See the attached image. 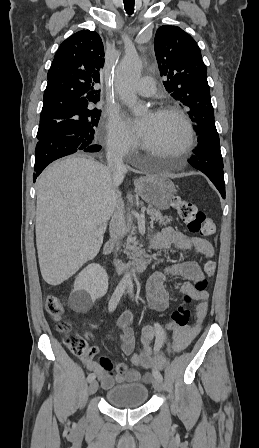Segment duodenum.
<instances>
[{
  "label": "duodenum",
  "instance_id": "1",
  "mask_svg": "<svg viewBox=\"0 0 259 448\" xmlns=\"http://www.w3.org/2000/svg\"><path fill=\"white\" fill-rule=\"evenodd\" d=\"M113 242L109 241L105 247H104V253L107 254L112 250ZM151 247H154L153 244H151ZM148 266V257L146 254L142 255L135 261H133L130 264H122L120 262H115V267L117 272L120 275L124 274H139L143 272Z\"/></svg>",
  "mask_w": 259,
  "mask_h": 448
}]
</instances>
